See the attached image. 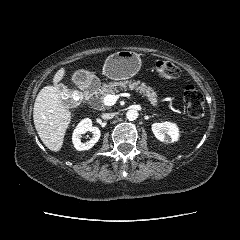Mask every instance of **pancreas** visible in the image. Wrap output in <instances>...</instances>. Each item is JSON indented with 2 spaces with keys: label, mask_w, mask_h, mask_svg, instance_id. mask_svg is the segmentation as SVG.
Segmentation results:
<instances>
[{
  "label": "pancreas",
  "mask_w": 240,
  "mask_h": 240,
  "mask_svg": "<svg viewBox=\"0 0 240 240\" xmlns=\"http://www.w3.org/2000/svg\"><path fill=\"white\" fill-rule=\"evenodd\" d=\"M122 89L136 90L141 95L145 96L153 105H158V95L153 88L147 86L146 83L141 81H120L104 83L101 89L96 94V102L93 104V108L97 110H105L103 99L106 95H113Z\"/></svg>",
  "instance_id": "cf45deb5"
}]
</instances>
